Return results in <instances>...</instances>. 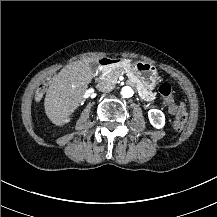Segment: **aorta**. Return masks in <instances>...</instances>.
<instances>
[{
	"instance_id": "762f6f07",
	"label": "aorta",
	"mask_w": 217,
	"mask_h": 217,
	"mask_svg": "<svg viewBox=\"0 0 217 217\" xmlns=\"http://www.w3.org/2000/svg\"><path fill=\"white\" fill-rule=\"evenodd\" d=\"M121 93L124 98H131L134 95V90L129 86H124Z\"/></svg>"
}]
</instances>
